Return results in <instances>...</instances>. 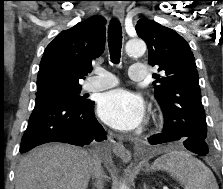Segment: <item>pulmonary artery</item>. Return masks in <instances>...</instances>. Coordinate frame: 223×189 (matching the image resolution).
<instances>
[{"mask_svg":"<svg viewBox=\"0 0 223 189\" xmlns=\"http://www.w3.org/2000/svg\"><path fill=\"white\" fill-rule=\"evenodd\" d=\"M96 76L89 79L83 86L86 91H102L118 84V79L109 71L100 68ZM129 78L133 82H143L146 78V70L143 64L134 63L130 66Z\"/></svg>","mask_w":223,"mask_h":189,"instance_id":"1","label":"pulmonary artery"}]
</instances>
